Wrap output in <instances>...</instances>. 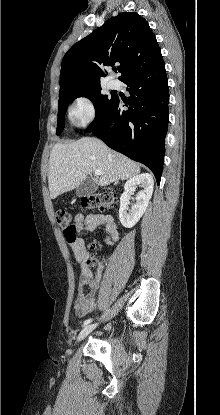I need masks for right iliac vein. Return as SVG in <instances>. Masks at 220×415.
I'll return each instance as SVG.
<instances>
[{"mask_svg":"<svg viewBox=\"0 0 220 415\" xmlns=\"http://www.w3.org/2000/svg\"><path fill=\"white\" fill-rule=\"evenodd\" d=\"M97 324H92V325H88L85 326L80 333L78 334L77 338H76V342H80L82 341L84 338H86L95 328H96Z\"/></svg>","mask_w":220,"mask_h":415,"instance_id":"right-iliac-vein-1","label":"right iliac vein"}]
</instances>
